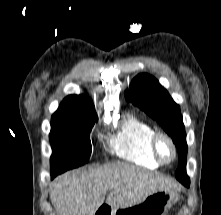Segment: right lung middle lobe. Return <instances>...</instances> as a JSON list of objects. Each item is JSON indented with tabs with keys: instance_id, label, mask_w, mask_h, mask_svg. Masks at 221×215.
I'll return each instance as SVG.
<instances>
[{
	"instance_id": "1",
	"label": "right lung middle lobe",
	"mask_w": 221,
	"mask_h": 215,
	"mask_svg": "<svg viewBox=\"0 0 221 215\" xmlns=\"http://www.w3.org/2000/svg\"><path fill=\"white\" fill-rule=\"evenodd\" d=\"M96 120L94 105L59 107L53 114L49 135L53 150L51 175L57 176L89 161L90 132Z\"/></svg>"
}]
</instances>
